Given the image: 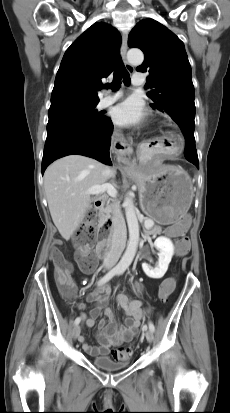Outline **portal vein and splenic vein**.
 Here are the masks:
<instances>
[{
	"label": "portal vein and splenic vein",
	"mask_w": 230,
	"mask_h": 413,
	"mask_svg": "<svg viewBox=\"0 0 230 413\" xmlns=\"http://www.w3.org/2000/svg\"><path fill=\"white\" fill-rule=\"evenodd\" d=\"M107 193L109 196L115 198L117 195V190L112 184H102L94 185L86 191L88 195H99L102 193ZM147 223V222H146Z\"/></svg>",
	"instance_id": "1"
}]
</instances>
